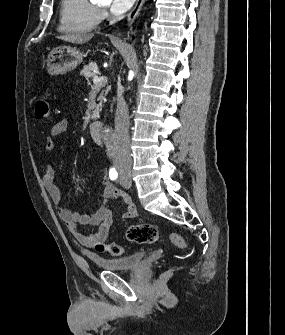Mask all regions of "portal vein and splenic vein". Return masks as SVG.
I'll list each match as a JSON object with an SVG mask.
<instances>
[{
	"instance_id": "18ae733b",
	"label": "portal vein and splenic vein",
	"mask_w": 285,
	"mask_h": 335,
	"mask_svg": "<svg viewBox=\"0 0 285 335\" xmlns=\"http://www.w3.org/2000/svg\"><path fill=\"white\" fill-rule=\"evenodd\" d=\"M93 82L94 84H105L106 78H98V76H94Z\"/></svg>"
}]
</instances>
